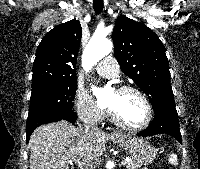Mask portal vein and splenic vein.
<instances>
[{
	"label": "portal vein and splenic vein",
	"instance_id": "portal-vein-and-splenic-vein-1",
	"mask_svg": "<svg viewBox=\"0 0 200 169\" xmlns=\"http://www.w3.org/2000/svg\"><path fill=\"white\" fill-rule=\"evenodd\" d=\"M128 162H129V160H125V161L122 162V164L125 165V164H127ZM77 163H78L79 165L81 164L80 161H78Z\"/></svg>",
	"mask_w": 200,
	"mask_h": 169
}]
</instances>
